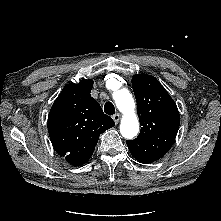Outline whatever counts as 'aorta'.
Listing matches in <instances>:
<instances>
[{
  "label": "aorta",
  "instance_id": "762f6f07",
  "mask_svg": "<svg viewBox=\"0 0 221 221\" xmlns=\"http://www.w3.org/2000/svg\"><path fill=\"white\" fill-rule=\"evenodd\" d=\"M117 108L123 114L120 133L127 139L134 138L139 132V120L135 113V102L128 89L122 88L113 93Z\"/></svg>",
  "mask_w": 221,
  "mask_h": 221
}]
</instances>
